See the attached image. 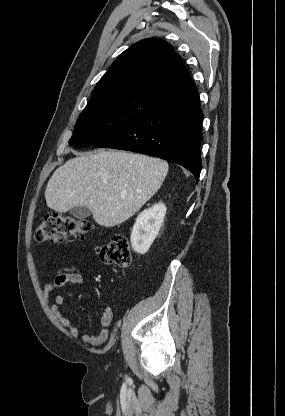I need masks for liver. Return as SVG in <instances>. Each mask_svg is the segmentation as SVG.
<instances>
[{"label":"liver","instance_id":"6515ba94","mask_svg":"<svg viewBox=\"0 0 285 416\" xmlns=\"http://www.w3.org/2000/svg\"><path fill=\"white\" fill-rule=\"evenodd\" d=\"M168 164L123 150H95L55 170L45 190L48 208L69 212L88 208L99 226L129 220L161 188Z\"/></svg>","mask_w":285,"mask_h":416}]
</instances>
